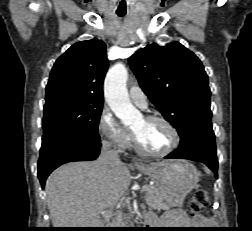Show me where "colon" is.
I'll return each mask as SVG.
<instances>
[{"label":"colon","mask_w":252,"mask_h":231,"mask_svg":"<svg viewBox=\"0 0 252 231\" xmlns=\"http://www.w3.org/2000/svg\"><path fill=\"white\" fill-rule=\"evenodd\" d=\"M209 205V192L206 189H198L194 192L189 202V211L198 214L207 209Z\"/></svg>","instance_id":"5ec220e1"}]
</instances>
